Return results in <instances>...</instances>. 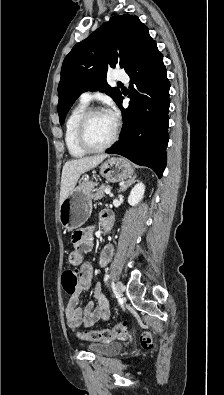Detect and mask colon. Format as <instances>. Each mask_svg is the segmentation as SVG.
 <instances>
[{
    "label": "colon",
    "mask_w": 224,
    "mask_h": 395,
    "mask_svg": "<svg viewBox=\"0 0 224 395\" xmlns=\"http://www.w3.org/2000/svg\"><path fill=\"white\" fill-rule=\"evenodd\" d=\"M63 288L68 294H73L77 288V275L74 270H66L63 274ZM127 324L125 321H119L109 328L78 331L76 336L85 341H107L121 337L125 334ZM142 343L145 347L153 346L152 337L149 334L142 336Z\"/></svg>",
    "instance_id": "5ec220e1"
}]
</instances>
